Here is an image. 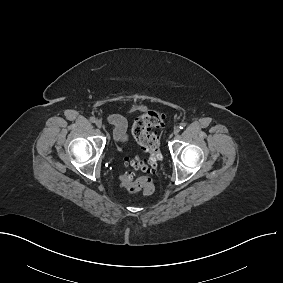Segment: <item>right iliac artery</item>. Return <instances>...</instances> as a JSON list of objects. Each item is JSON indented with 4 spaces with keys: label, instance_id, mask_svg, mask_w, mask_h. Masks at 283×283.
Wrapping results in <instances>:
<instances>
[{
    "label": "right iliac artery",
    "instance_id": "obj_1",
    "mask_svg": "<svg viewBox=\"0 0 283 283\" xmlns=\"http://www.w3.org/2000/svg\"><path fill=\"white\" fill-rule=\"evenodd\" d=\"M90 121H91L92 123H95V122H96V118H95V117H90Z\"/></svg>",
    "mask_w": 283,
    "mask_h": 283
}]
</instances>
